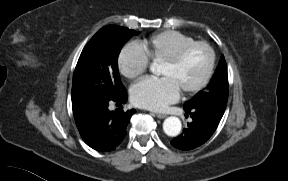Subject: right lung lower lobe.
Listing matches in <instances>:
<instances>
[{"instance_id": "1", "label": "right lung lower lobe", "mask_w": 288, "mask_h": 181, "mask_svg": "<svg viewBox=\"0 0 288 181\" xmlns=\"http://www.w3.org/2000/svg\"><path fill=\"white\" fill-rule=\"evenodd\" d=\"M111 100L125 103L126 90L108 101L95 105L84 128L79 130L84 142L98 151H113L121 144L130 118L136 112L134 109L123 111L122 108L110 111L108 106Z\"/></svg>"}]
</instances>
